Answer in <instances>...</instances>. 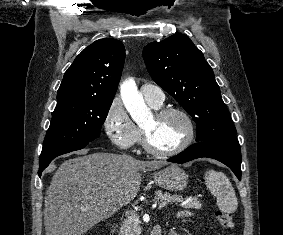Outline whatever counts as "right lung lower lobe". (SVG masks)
Instances as JSON below:
<instances>
[{"mask_svg": "<svg viewBox=\"0 0 283 235\" xmlns=\"http://www.w3.org/2000/svg\"><path fill=\"white\" fill-rule=\"evenodd\" d=\"M89 142H84V143H78V144H75L73 146H70L64 150H61L60 152L56 153L55 155L49 157L48 159L44 160V161H41L39 162V171H38V174L39 176H41V173L42 171L49 165V163L57 156L59 155H62V154H65V153H68V152H72V151H75V150H80L82 148H84Z\"/></svg>", "mask_w": 283, "mask_h": 235, "instance_id": "1", "label": "right lung lower lobe"}]
</instances>
